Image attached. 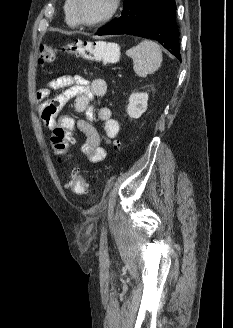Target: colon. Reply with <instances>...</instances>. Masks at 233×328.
I'll return each instance as SVG.
<instances>
[{
    "mask_svg": "<svg viewBox=\"0 0 233 328\" xmlns=\"http://www.w3.org/2000/svg\"><path fill=\"white\" fill-rule=\"evenodd\" d=\"M62 52L74 54L87 60L114 61L118 56L116 47L107 43H87L74 42L65 45ZM59 50L50 45H43L40 48L38 64L40 66L49 64L55 60ZM74 131V121L69 116L57 117L56 124L52 129L51 144L60 162L68 160V144L72 139ZM118 146V145H116ZM70 173L69 188L78 194L90 192V185L86 178L80 173L78 167H72Z\"/></svg>",
    "mask_w": 233,
    "mask_h": 328,
    "instance_id": "5ec220e1",
    "label": "colon"
}]
</instances>
